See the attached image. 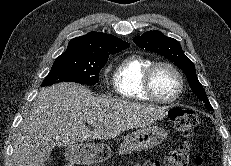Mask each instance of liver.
I'll return each instance as SVG.
<instances>
[{
	"label": "liver",
	"instance_id": "obj_1",
	"mask_svg": "<svg viewBox=\"0 0 231 166\" xmlns=\"http://www.w3.org/2000/svg\"><path fill=\"white\" fill-rule=\"evenodd\" d=\"M167 107L95 96L82 85L43 88L13 141L15 166H44L54 146L108 140L146 127L167 115ZM89 124L93 130L86 126Z\"/></svg>",
	"mask_w": 231,
	"mask_h": 166
}]
</instances>
